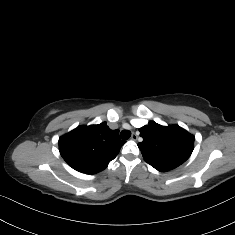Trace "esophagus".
Here are the masks:
<instances>
[{
  "instance_id": "34e87169",
  "label": "esophagus",
  "mask_w": 235,
  "mask_h": 235,
  "mask_svg": "<svg viewBox=\"0 0 235 235\" xmlns=\"http://www.w3.org/2000/svg\"><path fill=\"white\" fill-rule=\"evenodd\" d=\"M131 139L136 141L138 139V136L135 133H133L131 136Z\"/></svg>"
}]
</instances>
